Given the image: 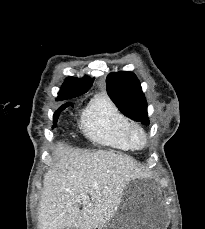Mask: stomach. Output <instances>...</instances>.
<instances>
[{
  "mask_svg": "<svg viewBox=\"0 0 205 229\" xmlns=\"http://www.w3.org/2000/svg\"><path fill=\"white\" fill-rule=\"evenodd\" d=\"M169 214L158 197L125 192L117 211L99 229H167Z\"/></svg>",
  "mask_w": 205,
  "mask_h": 229,
  "instance_id": "stomach-1",
  "label": "stomach"
}]
</instances>
